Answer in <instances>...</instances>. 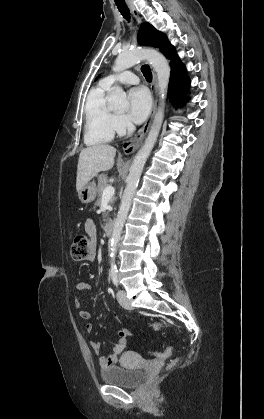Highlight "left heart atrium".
Returning <instances> with one entry per match:
<instances>
[{
	"label": "left heart atrium",
	"instance_id": "1",
	"mask_svg": "<svg viewBox=\"0 0 264 419\" xmlns=\"http://www.w3.org/2000/svg\"><path fill=\"white\" fill-rule=\"evenodd\" d=\"M131 119L136 123L143 122L151 108V98L148 91L144 88H134L129 92Z\"/></svg>",
	"mask_w": 264,
	"mask_h": 419
}]
</instances>
